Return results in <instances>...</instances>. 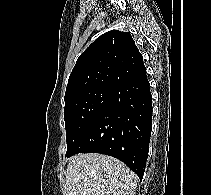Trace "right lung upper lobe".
<instances>
[{"label": "right lung upper lobe", "mask_w": 211, "mask_h": 195, "mask_svg": "<svg viewBox=\"0 0 211 195\" xmlns=\"http://www.w3.org/2000/svg\"><path fill=\"white\" fill-rule=\"evenodd\" d=\"M146 75L143 57L131 34L119 30L98 37L77 59L65 99L89 89L112 90Z\"/></svg>", "instance_id": "1"}]
</instances>
